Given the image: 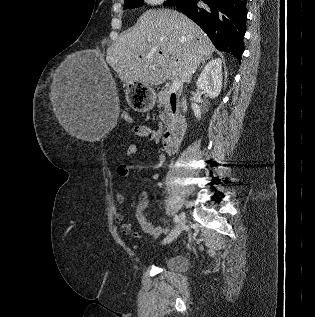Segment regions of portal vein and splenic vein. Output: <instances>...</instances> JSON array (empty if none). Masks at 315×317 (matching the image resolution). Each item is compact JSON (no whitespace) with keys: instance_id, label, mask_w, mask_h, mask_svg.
I'll use <instances>...</instances> for the list:
<instances>
[{"instance_id":"1","label":"portal vein and splenic vein","mask_w":315,"mask_h":317,"mask_svg":"<svg viewBox=\"0 0 315 317\" xmlns=\"http://www.w3.org/2000/svg\"><path fill=\"white\" fill-rule=\"evenodd\" d=\"M181 84H182V81L180 79L174 80L169 88V93L177 91L179 87L181 86Z\"/></svg>"}]
</instances>
